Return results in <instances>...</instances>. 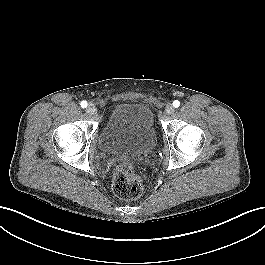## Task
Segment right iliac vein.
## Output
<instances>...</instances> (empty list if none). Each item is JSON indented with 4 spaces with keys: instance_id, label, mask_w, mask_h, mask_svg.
I'll list each match as a JSON object with an SVG mask.
<instances>
[{
    "instance_id": "right-iliac-vein-1",
    "label": "right iliac vein",
    "mask_w": 265,
    "mask_h": 265,
    "mask_svg": "<svg viewBox=\"0 0 265 265\" xmlns=\"http://www.w3.org/2000/svg\"><path fill=\"white\" fill-rule=\"evenodd\" d=\"M86 112L89 114V115H94L96 113V108L93 104H89L87 109H86Z\"/></svg>"
}]
</instances>
